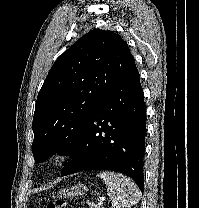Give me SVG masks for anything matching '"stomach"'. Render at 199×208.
I'll return each instance as SVG.
<instances>
[{
	"label": "stomach",
	"instance_id": "0dacf381",
	"mask_svg": "<svg viewBox=\"0 0 199 208\" xmlns=\"http://www.w3.org/2000/svg\"><path fill=\"white\" fill-rule=\"evenodd\" d=\"M88 191V188L83 184H78L67 189L60 190L58 192L59 197L63 198H73L78 195H82Z\"/></svg>",
	"mask_w": 199,
	"mask_h": 208
}]
</instances>
